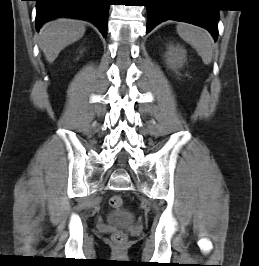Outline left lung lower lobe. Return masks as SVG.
Returning a JSON list of instances; mask_svg holds the SVG:
<instances>
[{
  "label": "left lung lower lobe",
  "mask_w": 259,
  "mask_h": 266,
  "mask_svg": "<svg viewBox=\"0 0 259 266\" xmlns=\"http://www.w3.org/2000/svg\"><path fill=\"white\" fill-rule=\"evenodd\" d=\"M191 2L190 0H146L148 13L146 33L163 21L176 20L203 27L217 40L218 10L207 7L204 0H197L198 3L193 6Z\"/></svg>",
  "instance_id": "1"
}]
</instances>
